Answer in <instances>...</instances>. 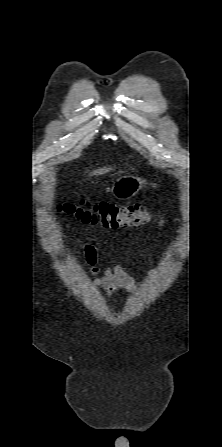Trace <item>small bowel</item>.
Returning <instances> with one entry per match:
<instances>
[{"instance_id":"1","label":"small bowel","mask_w":222,"mask_h":447,"mask_svg":"<svg viewBox=\"0 0 222 447\" xmlns=\"http://www.w3.org/2000/svg\"><path fill=\"white\" fill-rule=\"evenodd\" d=\"M85 254L90 271L97 275L95 286L98 290L105 291L109 296L119 292L134 293L137 287L135 279L120 265L113 263L104 267L98 266L94 246L86 244ZM152 275L153 272L150 271Z\"/></svg>"}]
</instances>
